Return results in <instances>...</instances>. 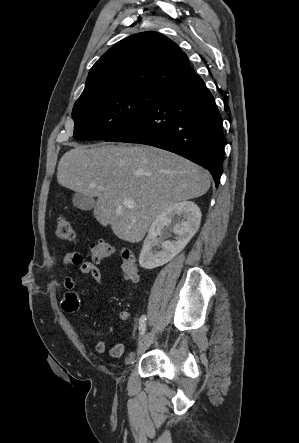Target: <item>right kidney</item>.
<instances>
[{
	"label": "right kidney",
	"mask_w": 299,
	"mask_h": 443,
	"mask_svg": "<svg viewBox=\"0 0 299 443\" xmlns=\"http://www.w3.org/2000/svg\"><path fill=\"white\" fill-rule=\"evenodd\" d=\"M201 212L191 201H181L162 211L152 222L144 240L139 264L144 269L162 266L179 254L199 229ZM172 227L174 240H159L164 227Z\"/></svg>",
	"instance_id": "obj_1"
}]
</instances>
